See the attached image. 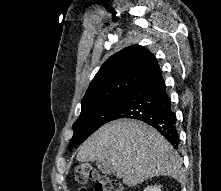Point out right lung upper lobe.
I'll return each instance as SVG.
<instances>
[{"mask_svg":"<svg viewBox=\"0 0 221 191\" xmlns=\"http://www.w3.org/2000/svg\"><path fill=\"white\" fill-rule=\"evenodd\" d=\"M159 70L155 57L143 46L126 47L101 66L82 99V107L125 96Z\"/></svg>","mask_w":221,"mask_h":191,"instance_id":"obj_1","label":"right lung upper lobe"}]
</instances>
